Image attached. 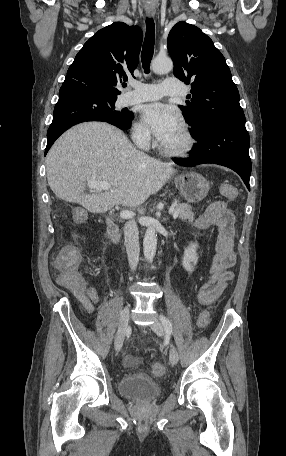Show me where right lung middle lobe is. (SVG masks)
<instances>
[{"label":"right lung middle lobe","instance_id":"dd1d6c3e","mask_svg":"<svg viewBox=\"0 0 286 456\" xmlns=\"http://www.w3.org/2000/svg\"><path fill=\"white\" fill-rule=\"evenodd\" d=\"M115 101L116 100H106L100 111L101 114L109 120L128 123L132 119L133 114L126 110H115Z\"/></svg>","mask_w":286,"mask_h":456}]
</instances>
